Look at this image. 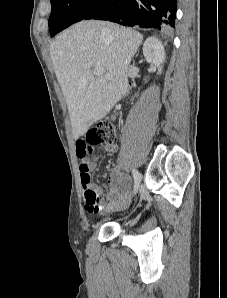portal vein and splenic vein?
<instances>
[{
	"mask_svg": "<svg viewBox=\"0 0 227 298\" xmlns=\"http://www.w3.org/2000/svg\"><path fill=\"white\" fill-rule=\"evenodd\" d=\"M102 73H103V71H102L101 69H95V70H94V74H95L96 76L102 75ZM105 77H106L107 79H111V76H110L109 74H106Z\"/></svg>",
	"mask_w": 227,
	"mask_h": 298,
	"instance_id": "obj_1",
	"label": "portal vein and splenic vein"
}]
</instances>
